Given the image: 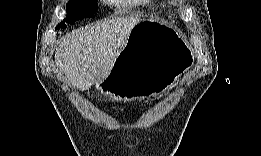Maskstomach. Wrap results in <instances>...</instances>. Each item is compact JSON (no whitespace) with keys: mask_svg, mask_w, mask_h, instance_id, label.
I'll use <instances>...</instances> for the list:
<instances>
[{"mask_svg":"<svg viewBox=\"0 0 261 156\" xmlns=\"http://www.w3.org/2000/svg\"><path fill=\"white\" fill-rule=\"evenodd\" d=\"M161 38L168 41L170 49L155 54L140 66H131L134 58ZM191 63V53L176 29L161 22L141 20L129 34L110 74L96 88L116 100L145 99L168 89Z\"/></svg>","mask_w":261,"mask_h":156,"instance_id":"obj_1","label":"stomach"}]
</instances>
